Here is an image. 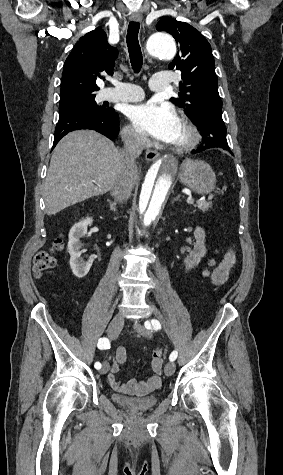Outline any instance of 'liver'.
<instances>
[{
	"mask_svg": "<svg viewBox=\"0 0 283 475\" xmlns=\"http://www.w3.org/2000/svg\"><path fill=\"white\" fill-rule=\"evenodd\" d=\"M119 160V150L102 134L94 130L70 132L52 154L44 186L47 216L109 192Z\"/></svg>",
	"mask_w": 283,
	"mask_h": 475,
	"instance_id": "6515ba94",
	"label": "liver"
}]
</instances>
